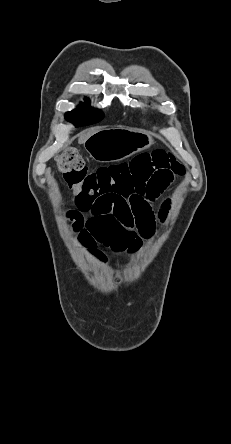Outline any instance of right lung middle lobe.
Masks as SVG:
<instances>
[{
  "instance_id": "1",
  "label": "right lung middle lobe",
  "mask_w": 231,
  "mask_h": 444,
  "mask_svg": "<svg viewBox=\"0 0 231 444\" xmlns=\"http://www.w3.org/2000/svg\"><path fill=\"white\" fill-rule=\"evenodd\" d=\"M85 99L87 102H90L88 98ZM66 118L74 123L76 127H79L99 122L103 118V113L81 103L76 110L68 112Z\"/></svg>"
}]
</instances>
